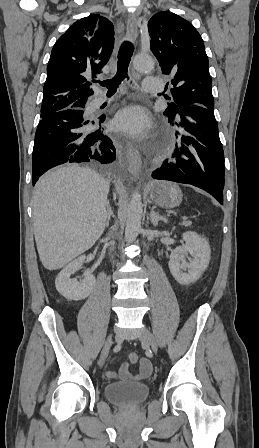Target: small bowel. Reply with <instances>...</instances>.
<instances>
[{
	"label": "small bowel",
	"mask_w": 259,
	"mask_h": 448,
	"mask_svg": "<svg viewBox=\"0 0 259 448\" xmlns=\"http://www.w3.org/2000/svg\"><path fill=\"white\" fill-rule=\"evenodd\" d=\"M152 372V364L147 358H142L139 363V372L137 374H132L128 370V365L125 363L122 365L119 373L108 370L106 371V376L110 379H115L118 376L125 381H141L146 379Z\"/></svg>",
	"instance_id": "1"
}]
</instances>
